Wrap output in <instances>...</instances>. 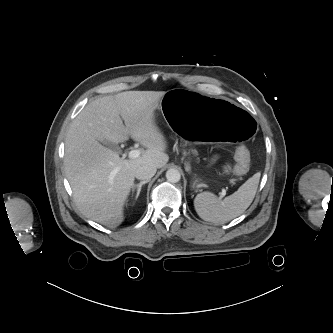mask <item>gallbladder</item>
Masks as SVG:
<instances>
[{
  "label": "gallbladder",
  "mask_w": 333,
  "mask_h": 333,
  "mask_svg": "<svg viewBox=\"0 0 333 333\" xmlns=\"http://www.w3.org/2000/svg\"><path fill=\"white\" fill-rule=\"evenodd\" d=\"M107 148H109V149H111V150H113V151H116V152H119L120 151V149H119V147H118V145L117 144H114V143H110V142H105V143H103Z\"/></svg>",
  "instance_id": "obj_1"
}]
</instances>
